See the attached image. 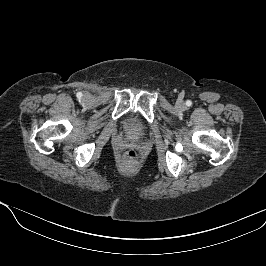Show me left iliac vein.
<instances>
[{
    "instance_id": "left-iliac-vein-1",
    "label": "left iliac vein",
    "mask_w": 266,
    "mask_h": 266,
    "mask_svg": "<svg viewBox=\"0 0 266 266\" xmlns=\"http://www.w3.org/2000/svg\"><path fill=\"white\" fill-rule=\"evenodd\" d=\"M176 107H177L179 110H183L184 107H185V104H184L183 101H178V102L176 103Z\"/></svg>"
}]
</instances>
